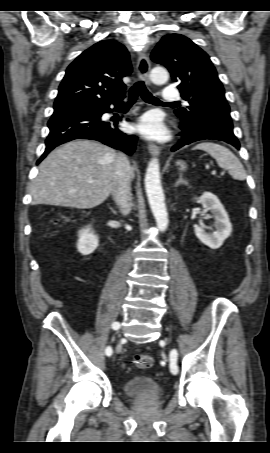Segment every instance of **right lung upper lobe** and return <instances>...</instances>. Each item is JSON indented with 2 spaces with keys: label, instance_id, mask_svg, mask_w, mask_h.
<instances>
[{
  "label": "right lung upper lobe",
  "instance_id": "1",
  "mask_svg": "<svg viewBox=\"0 0 270 453\" xmlns=\"http://www.w3.org/2000/svg\"><path fill=\"white\" fill-rule=\"evenodd\" d=\"M132 71L127 49L103 40L80 54L67 68L54 112L109 104L123 98L122 78Z\"/></svg>",
  "mask_w": 270,
  "mask_h": 453
}]
</instances>
